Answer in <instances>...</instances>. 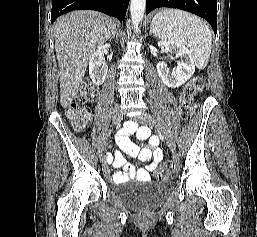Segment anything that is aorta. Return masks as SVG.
<instances>
[{
  "label": "aorta",
  "instance_id": "762f6f07",
  "mask_svg": "<svg viewBox=\"0 0 257 237\" xmlns=\"http://www.w3.org/2000/svg\"><path fill=\"white\" fill-rule=\"evenodd\" d=\"M145 8H146V0L130 1V15L132 20V27L135 33L139 32V26L143 20Z\"/></svg>",
  "mask_w": 257,
  "mask_h": 237
}]
</instances>
